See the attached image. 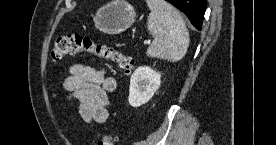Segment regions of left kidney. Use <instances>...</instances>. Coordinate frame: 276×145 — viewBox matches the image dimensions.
I'll use <instances>...</instances> for the list:
<instances>
[{
    "mask_svg": "<svg viewBox=\"0 0 276 145\" xmlns=\"http://www.w3.org/2000/svg\"><path fill=\"white\" fill-rule=\"evenodd\" d=\"M161 74L148 66L138 67L132 74L129 87V104L139 107L147 103L160 86Z\"/></svg>",
    "mask_w": 276,
    "mask_h": 145,
    "instance_id": "obj_1",
    "label": "left kidney"
}]
</instances>
